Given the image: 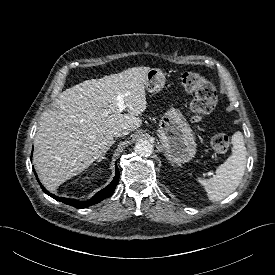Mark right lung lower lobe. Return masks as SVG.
I'll return each mask as SVG.
<instances>
[{"instance_id": "obj_1", "label": "right lung lower lobe", "mask_w": 275, "mask_h": 275, "mask_svg": "<svg viewBox=\"0 0 275 275\" xmlns=\"http://www.w3.org/2000/svg\"><path fill=\"white\" fill-rule=\"evenodd\" d=\"M115 169H116V173H115V177L114 179L112 180V182L107 186L105 187L104 189H102L101 191H99L97 194H95L93 196V198H91L90 200H87V201H79V200H75V199H69V198H63V197H57L55 195H53L52 193L48 192L43 186L42 184L39 182L42 190L48 194L49 196H51L52 198H54L55 200L57 201H60V202H63L65 204H68V205H71V206H74L78 209H82V208H86V207H89L91 205H94L96 203H99L100 201L108 198L109 196H111L118 184V181H119V177H120V173H119V170L117 168V164L115 165ZM35 173V172H34ZM35 176L37 178V174L35 173Z\"/></svg>"}]
</instances>
